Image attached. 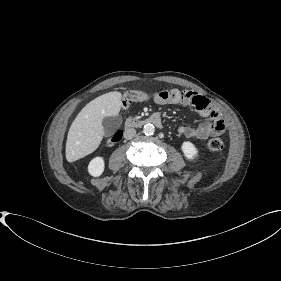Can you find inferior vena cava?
Masks as SVG:
<instances>
[{
	"instance_id": "1",
	"label": "inferior vena cava",
	"mask_w": 281,
	"mask_h": 281,
	"mask_svg": "<svg viewBox=\"0 0 281 281\" xmlns=\"http://www.w3.org/2000/svg\"><path fill=\"white\" fill-rule=\"evenodd\" d=\"M135 135H136V130L133 128H129L124 131V138L127 140L132 139Z\"/></svg>"
}]
</instances>
